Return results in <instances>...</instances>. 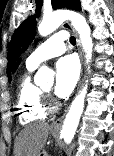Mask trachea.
<instances>
[{"label": "trachea", "instance_id": "1", "mask_svg": "<svg viewBox=\"0 0 114 156\" xmlns=\"http://www.w3.org/2000/svg\"><path fill=\"white\" fill-rule=\"evenodd\" d=\"M70 43H72V44H75L76 43L75 37H70Z\"/></svg>", "mask_w": 114, "mask_h": 156}]
</instances>
